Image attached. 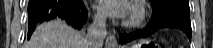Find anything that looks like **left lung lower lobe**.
Masks as SVG:
<instances>
[{"label":"left lung lower lobe","mask_w":213,"mask_h":48,"mask_svg":"<svg viewBox=\"0 0 213 48\" xmlns=\"http://www.w3.org/2000/svg\"><path fill=\"white\" fill-rule=\"evenodd\" d=\"M166 27L181 29L191 40L192 28L190 23V11H185L177 7H164L153 12L147 27L134 33L122 34L119 39L121 43L126 44L138 38L148 37L158 29Z\"/></svg>","instance_id":"0a47b994"}]
</instances>
